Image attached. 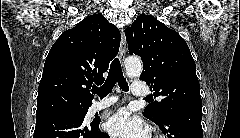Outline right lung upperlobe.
I'll list each match as a JSON object with an SVG mask.
<instances>
[{
	"label": "right lung upper lobe",
	"mask_w": 240,
	"mask_h": 138,
	"mask_svg": "<svg viewBox=\"0 0 240 138\" xmlns=\"http://www.w3.org/2000/svg\"><path fill=\"white\" fill-rule=\"evenodd\" d=\"M120 34L101 14L91 15L66 30L51 47L38 88L37 115L90 107L92 85L118 53Z\"/></svg>",
	"instance_id": "obj_1"
}]
</instances>
